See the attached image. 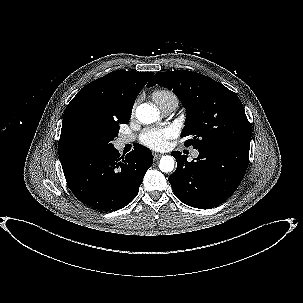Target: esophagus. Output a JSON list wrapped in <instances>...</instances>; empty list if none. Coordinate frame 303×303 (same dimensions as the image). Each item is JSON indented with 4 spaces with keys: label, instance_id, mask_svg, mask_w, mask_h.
<instances>
[{
    "label": "esophagus",
    "instance_id": "esophagus-1",
    "mask_svg": "<svg viewBox=\"0 0 303 303\" xmlns=\"http://www.w3.org/2000/svg\"><path fill=\"white\" fill-rule=\"evenodd\" d=\"M162 156L160 153H153V157L155 160L159 159Z\"/></svg>",
    "mask_w": 303,
    "mask_h": 303
}]
</instances>
